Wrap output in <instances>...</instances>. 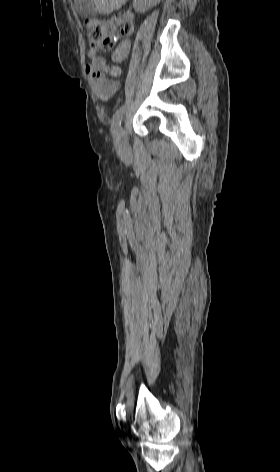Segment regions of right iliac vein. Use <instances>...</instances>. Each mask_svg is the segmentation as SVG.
<instances>
[{"mask_svg": "<svg viewBox=\"0 0 280 472\" xmlns=\"http://www.w3.org/2000/svg\"><path fill=\"white\" fill-rule=\"evenodd\" d=\"M118 151L121 156L128 157L130 155V146L128 143L126 132L123 128L119 130V138L117 141Z\"/></svg>", "mask_w": 280, "mask_h": 472, "instance_id": "63e3f726", "label": "right iliac vein"}]
</instances>
